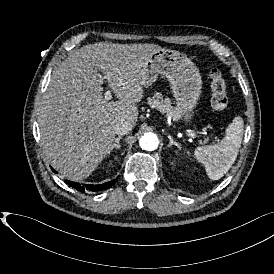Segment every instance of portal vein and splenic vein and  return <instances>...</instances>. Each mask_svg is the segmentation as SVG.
Here are the masks:
<instances>
[{"mask_svg": "<svg viewBox=\"0 0 274 274\" xmlns=\"http://www.w3.org/2000/svg\"><path fill=\"white\" fill-rule=\"evenodd\" d=\"M104 98L107 101L111 100V98H112L111 91H109V90L106 91L105 94H104Z\"/></svg>", "mask_w": 274, "mask_h": 274, "instance_id": "1", "label": "portal vein and splenic vein"}]
</instances>
